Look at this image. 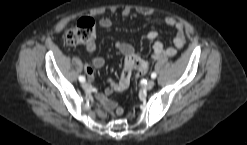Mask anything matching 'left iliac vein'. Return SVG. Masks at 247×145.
Returning a JSON list of instances; mask_svg holds the SVG:
<instances>
[{
    "mask_svg": "<svg viewBox=\"0 0 247 145\" xmlns=\"http://www.w3.org/2000/svg\"><path fill=\"white\" fill-rule=\"evenodd\" d=\"M155 85V81L153 79H150L147 81V83L144 85L146 89H152Z\"/></svg>",
    "mask_w": 247,
    "mask_h": 145,
    "instance_id": "4c4485c4",
    "label": "left iliac vein"
}]
</instances>
